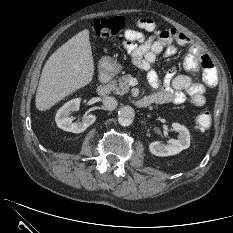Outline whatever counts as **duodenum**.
<instances>
[{"label":"duodenum","instance_id":"1","mask_svg":"<svg viewBox=\"0 0 233 233\" xmlns=\"http://www.w3.org/2000/svg\"><path fill=\"white\" fill-rule=\"evenodd\" d=\"M114 70L109 62H104L100 68V83L97 86V93L100 96H105L109 93V83L113 76ZM149 97H143L134 100V104L139 108H146L151 104Z\"/></svg>","mask_w":233,"mask_h":233}]
</instances>
